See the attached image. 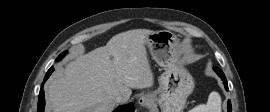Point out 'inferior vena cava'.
<instances>
[{"instance_id":"1","label":"inferior vena cava","mask_w":270,"mask_h":112,"mask_svg":"<svg viewBox=\"0 0 270 112\" xmlns=\"http://www.w3.org/2000/svg\"><path fill=\"white\" fill-rule=\"evenodd\" d=\"M115 101L116 103H124L127 101V98L123 95L118 94L115 96Z\"/></svg>"}]
</instances>
